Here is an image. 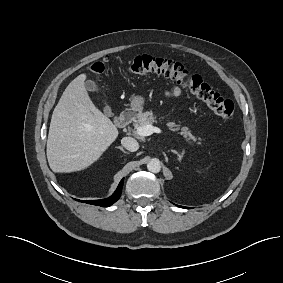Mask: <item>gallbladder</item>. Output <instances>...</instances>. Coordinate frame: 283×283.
Listing matches in <instances>:
<instances>
[{"label": "gallbladder", "mask_w": 283, "mask_h": 283, "mask_svg": "<svg viewBox=\"0 0 283 283\" xmlns=\"http://www.w3.org/2000/svg\"><path fill=\"white\" fill-rule=\"evenodd\" d=\"M85 87L88 91H92V92H98L100 89H99V86L97 85V83L93 80H87L85 82ZM104 112L105 114L111 116V112H110V109L108 107H106L104 109Z\"/></svg>", "instance_id": "1"}]
</instances>
